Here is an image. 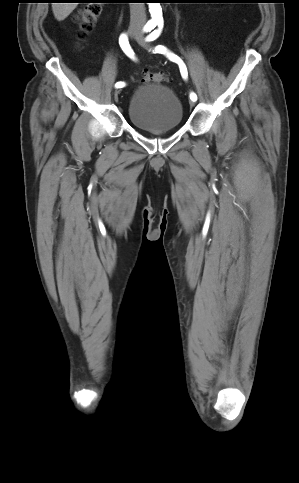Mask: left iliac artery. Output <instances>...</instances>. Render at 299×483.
Returning a JSON list of instances; mask_svg holds the SVG:
<instances>
[{
	"label": "left iliac artery",
	"mask_w": 299,
	"mask_h": 483,
	"mask_svg": "<svg viewBox=\"0 0 299 483\" xmlns=\"http://www.w3.org/2000/svg\"><path fill=\"white\" fill-rule=\"evenodd\" d=\"M158 26L159 28L162 27V23H158ZM160 34V30H154L150 35H148L146 37V41H153L155 40ZM154 53H161V54H164V55H167V57L173 61V62H176L178 65H179V68H180V72H181V75L184 79H187V76H188V72H187V68H186V65L184 64V62L181 60L180 57H178L177 55H175L174 53H171L167 50V48L163 45H158L155 47V49L153 50ZM190 99L192 101H196L197 100V95L194 93V92H191L190 94Z\"/></svg>",
	"instance_id": "left-iliac-artery-1"
}]
</instances>
